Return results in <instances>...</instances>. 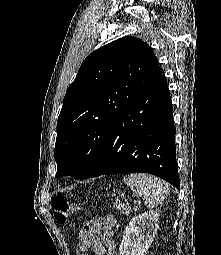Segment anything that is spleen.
<instances>
[{
    "label": "spleen",
    "instance_id": "obj_1",
    "mask_svg": "<svg viewBox=\"0 0 221 255\" xmlns=\"http://www.w3.org/2000/svg\"><path fill=\"white\" fill-rule=\"evenodd\" d=\"M124 182L136 196L145 200L149 208L161 204L169 193L166 182L149 174H130L124 177Z\"/></svg>",
    "mask_w": 221,
    "mask_h": 255
}]
</instances>
